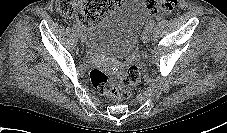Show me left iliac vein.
<instances>
[{
  "label": "left iliac vein",
  "mask_w": 227,
  "mask_h": 133,
  "mask_svg": "<svg viewBox=\"0 0 227 133\" xmlns=\"http://www.w3.org/2000/svg\"><path fill=\"white\" fill-rule=\"evenodd\" d=\"M151 32L152 30L148 27H146L142 33V41L143 43L147 44L150 41V37H151Z\"/></svg>",
  "instance_id": "4c4485c4"
}]
</instances>
